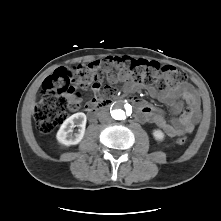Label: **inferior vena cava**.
<instances>
[{
  "label": "inferior vena cava",
  "mask_w": 221,
  "mask_h": 221,
  "mask_svg": "<svg viewBox=\"0 0 221 221\" xmlns=\"http://www.w3.org/2000/svg\"><path fill=\"white\" fill-rule=\"evenodd\" d=\"M110 115L108 112H105V111H102L100 114H99V120L101 122H108L110 121Z\"/></svg>",
  "instance_id": "inferior-vena-cava-1"
}]
</instances>
